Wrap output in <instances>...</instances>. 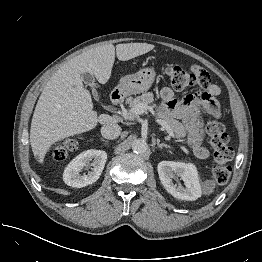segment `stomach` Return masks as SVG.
<instances>
[{"label": "stomach", "instance_id": "obj_1", "mask_svg": "<svg viewBox=\"0 0 262 262\" xmlns=\"http://www.w3.org/2000/svg\"><path fill=\"white\" fill-rule=\"evenodd\" d=\"M155 76L156 72L153 68L141 69L135 74L122 77L117 90L124 95L146 92L153 84Z\"/></svg>", "mask_w": 262, "mask_h": 262}]
</instances>
